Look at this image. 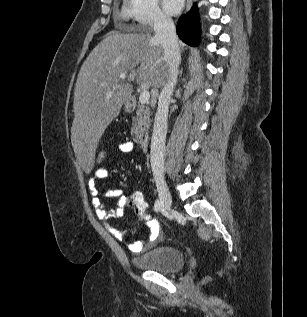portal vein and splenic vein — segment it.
<instances>
[{
  "instance_id": "portal-vein-and-splenic-vein-1",
  "label": "portal vein and splenic vein",
  "mask_w": 307,
  "mask_h": 317,
  "mask_svg": "<svg viewBox=\"0 0 307 317\" xmlns=\"http://www.w3.org/2000/svg\"><path fill=\"white\" fill-rule=\"evenodd\" d=\"M126 78V73L120 74V79L124 80ZM150 99V93L147 89H143V91L140 93L139 101L142 105L146 104Z\"/></svg>"
}]
</instances>
